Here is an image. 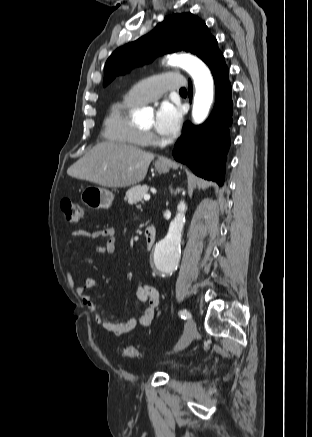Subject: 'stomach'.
Masks as SVG:
<instances>
[{
	"label": "stomach",
	"instance_id": "stomach-1",
	"mask_svg": "<svg viewBox=\"0 0 312 437\" xmlns=\"http://www.w3.org/2000/svg\"><path fill=\"white\" fill-rule=\"evenodd\" d=\"M170 166L169 161L155 163V169L160 174L167 173ZM80 199L84 205L92 210L109 209L112 206L114 194L106 188L89 185L82 190Z\"/></svg>",
	"mask_w": 312,
	"mask_h": 437
}]
</instances>
